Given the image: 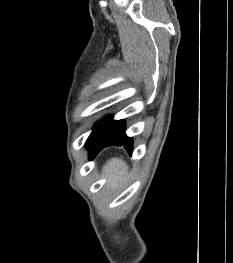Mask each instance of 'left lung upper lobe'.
I'll return each instance as SVG.
<instances>
[{"instance_id": "1", "label": "left lung upper lobe", "mask_w": 233, "mask_h": 263, "mask_svg": "<svg viewBox=\"0 0 233 263\" xmlns=\"http://www.w3.org/2000/svg\"><path fill=\"white\" fill-rule=\"evenodd\" d=\"M92 134H93V132L91 133V135H90L89 138L87 139L86 144H87V142L89 141V139L91 138ZM86 144H85V145H86Z\"/></svg>"}]
</instances>
